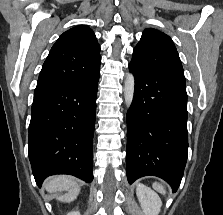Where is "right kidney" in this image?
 I'll return each instance as SVG.
<instances>
[{
  "label": "right kidney",
  "mask_w": 223,
  "mask_h": 215,
  "mask_svg": "<svg viewBox=\"0 0 223 215\" xmlns=\"http://www.w3.org/2000/svg\"><path fill=\"white\" fill-rule=\"evenodd\" d=\"M67 215H81L80 211H69Z\"/></svg>",
  "instance_id": "right-kidney-1"
}]
</instances>
